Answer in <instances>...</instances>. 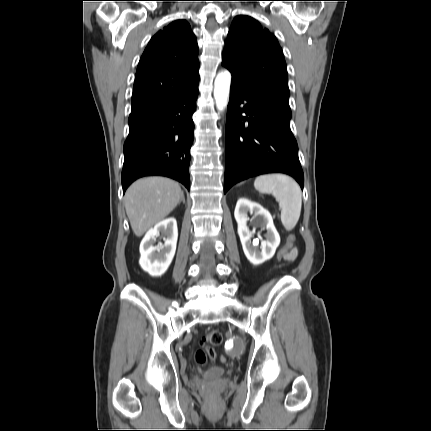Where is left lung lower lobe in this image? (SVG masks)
Wrapping results in <instances>:
<instances>
[{"label": "left lung lower lobe", "mask_w": 431, "mask_h": 431, "mask_svg": "<svg viewBox=\"0 0 431 431\" xmlns=\"http://www.w3.org/2000/svg\"><path fill=\"white\" fill-rule=\"evenodd\" d=\"M291 110L249 94L231 83L226 122L224 193L234 184L265 173H285L303 189Z\"/></svg>", "instance_id": "1"}]
</instances>
